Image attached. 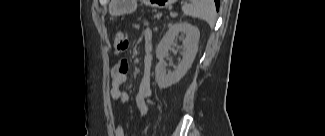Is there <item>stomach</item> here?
Instances as JSON below:
<instances>
[{
  "label": "stomach",
  "mask_w": 325,
  "mask_h": 136,
  "mask_svg": "<svg viewBox=\"0 0 325 136\" xmlns=\"http://www.w3.org/2000/svg\"><path fill=\"white\" fill-rule=\"evenodd\" d=\"M136 0H112L113 15H122L132 13L136 9ZM152 7L166 8L170 6L175 0H146Z\"/></svg>",
  "instance_id": "1"
}]
</instances>
